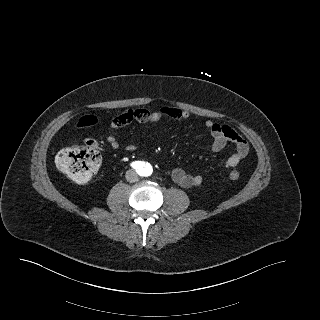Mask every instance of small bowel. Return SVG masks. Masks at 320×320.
Listing matches in <instances>:
<instances>
[{
	"label": "small bowel",
	"instance_id": "c3829d8e",
	"mask_svg": "<svg viewBox=\"0 0 320 320\" xmlns=\"http://www.w3.org/2000/svg\"><path fill=\"white\" fill-rule=\"evenodd\" d=\"M190 114L186 110L177 107L163 106L156 111L150 112L147 109L137 108L121 112L110 123L107 142L114 150L120 148V143L115 135V131L121 127L127 126L133 122L140 124L155 123L163 119L187 120ZM206 127L212 138L211 150L214 153L223 150L228 143L235 146V152L222 164L224 169L235 168L246 158L248 154V145L246 141L228 125L206 121ZM127 151H134V145H128ZM173 181L181 187L192 188L199 186L204 177L201 174L189 173L186 170L176 167L171 172Z\"/></svg>",
	"mask_w": 320,
	"mask_h": 320
}]
</instances>
